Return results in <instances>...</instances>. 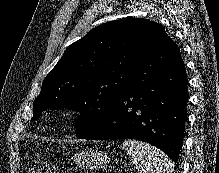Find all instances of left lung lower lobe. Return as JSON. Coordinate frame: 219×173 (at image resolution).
Here are the masks:
<instances>
[{"label":"left lung lower lobe","instance_id":"obj_1","mask_svg":"<svg viewBox=\"0 0 219 173\" xmlns=\"http://www.w3.org/2000/svg\"><path fill=\"white\" fill-rule=\"evenodd\" d=\"M133 83L98 128L78 138L142 140L178 164L189 95L179 47L169 36L136 68Z\"/></svg>","mask_w":219,"mask_h":173}]
</instances>
